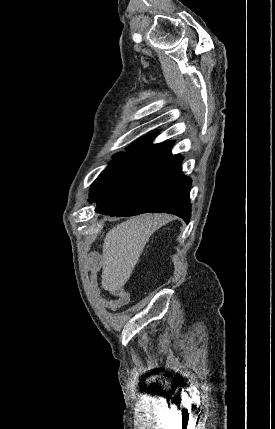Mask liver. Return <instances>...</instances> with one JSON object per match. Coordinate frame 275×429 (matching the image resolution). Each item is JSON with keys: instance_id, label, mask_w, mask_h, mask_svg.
<instances>
[{"instance_id": "liver-1", "label": "liver", "mask_w": 275, "mask_h": 429, "mask_svg": "<svg viewBox=\"0 0 275 429\" xmlns=\"http://www.w3.org/2000/svg\"><path fill=\"white\" fill-rule=\"evenodd\" d=\"M172 218L163 214H144L113 227L103 243L102 287L118 294L138 262L150 236Z\"/></svg>"}]
</instances>
